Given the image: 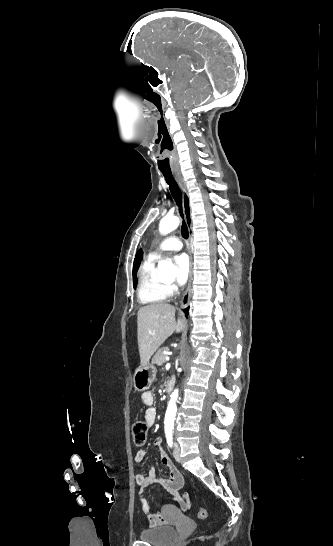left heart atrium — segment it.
Listing matches in <instances>:
<instances>
[{"mask_svg": "<svg viewBox=\"0 0 333 546\" xmlns=\"http://www.w3.org/2000/svg\"><path fill=\"white\" fill-rule=\"evenodd\" d=\"M178 284H184L190 274L191 262L187 254L181 253L174 257Z\"/></svg>", "mask_w": 333, "mask_h": 546, "instance_id": "left-heart-atrium-1", "label": "left heart atrium"}]
</instances>
